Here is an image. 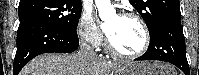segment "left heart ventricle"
Instances as JSON below:
<instances>
[{"label": "left heart ventricle", "instance_id": "left-heart-ventricle-1", "mask_svg": "<svg viewBox=\"0 0 199 75\" xmlns=\"http://www.w3.org/2000/svg\"><path fill=\"white\" fill-rule=\"evenodd\" d=\"M114 27L109 37L113 44L126 52H136L143 45V32L139 24L132 19L114 17L109 24Z\"/></svg>", "mask_w": 199, "mask_h": 75}]
</instances>
